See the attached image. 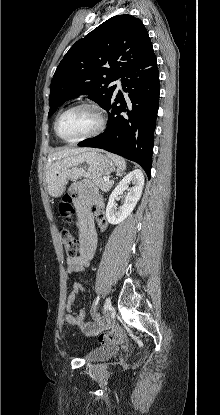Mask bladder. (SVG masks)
<instances>
[{
  "mask_svg": "<svg viewBox=\"0 0 220 415\" xmlns=\"http://www.w3.org/2000/svg\"><path fill=\"white\" fill-rule=\"evenodd\" d=\"M120 347L115 344H111L105 347H99L94 350H92L88 354V360L90 361H98L103 360L106 358H109L113 355H115L119 351Z\"/></svg>",
  "mask_w": 220,
  "mask_h": 415,
  "instance_id": "1",
  "label": "bladder"
}]
</instances>
